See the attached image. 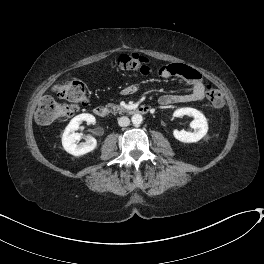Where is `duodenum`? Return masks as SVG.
I'll list each match as a JSON object with an SVG mask.
<instances>
[{
	"mask_svg": "<svg viewBox=\"0 0 264 264\" xmlns=\"http://www.w3.org/2000/svg\"><path fill=\"white\" fill-rule=\"evenodd\" d=\"M151 111V107L148 105H140L128 110L129 114L146 115ZM95 115L98 117H105L107 115V109L104 105L99 104L94 108Z\"/></svg>",
	"mask_w": 264,
	"mask_h": 264,
	"instance_id": "duodenum-1",
	"label": "duodenum"
}]
</instances>
